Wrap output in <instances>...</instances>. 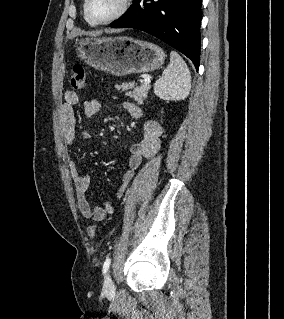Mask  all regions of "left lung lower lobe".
Returning <instances> with one entry per match:
<instances>
[{"instance_id": "1", "label": "left lung lower lobe", "mask_w": 284, "mask_h": 319, "mask_svg": "<svg viewBox=\"0 0 284 319\" xmlns=\"http://www.w3.org/2000/svg\"><path fill=\"white\" fill-rule=\"evenodd\" d=\"M202 0H134L127 12L110 26L145 31L200 64Z\"/></svg>"}]
</instances>
